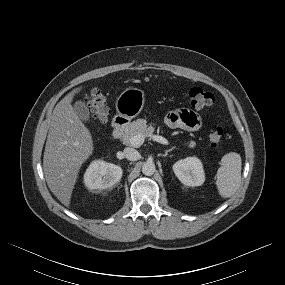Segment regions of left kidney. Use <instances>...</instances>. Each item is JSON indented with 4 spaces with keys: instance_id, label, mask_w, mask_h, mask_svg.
I'll list each match as a JSON object with an SVG mask.
<instances>
[{
    "instance_id": "left-kidney-1",
    "label": "left kidney",
    "mask_w": 285,
    "mask_h": 285,
    "mask_svg": "<svg viewBox=\"0 0 285 285\" xmlns=\"http://www.w3.org/2000/svg\"><path fill=\"white\" fill-rule=\"evenodd\" d=\"M176 177L186 186H201L205 181V174L201 161L197 157H187L173 165Z\"/></svg>"
}]
</instances>
